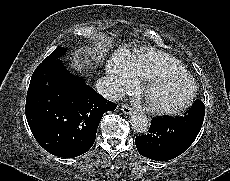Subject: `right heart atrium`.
Wrapping results in <instances>:
<instances>
[{"mask_svg": "<svg viewBox=\"0 0 230 181\" xmlns=\"http://www.w3.org/2000/svg\"><path fill=\"white\" fill-rule=\"evenodd\" d=\"M106 74L109 78L110 85L115 92H121L129 86L131 81H135V77L126 73L122 69H117L111 64L107 65Z\"/></svg>", "mask_w": 230, "mask_h": 181, "instance_id": "1", "label": "right heart atrium"}]
</instances>
